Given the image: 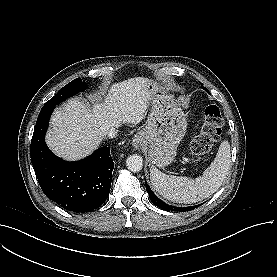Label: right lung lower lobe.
Returning a JSON list of instances; mask_svg holds the SVG:
<instances>
[{"label":"right lung lower lobe","mask_w":277,"mask_h":277,"mask_svg":"<svg viewBox=\"0 0 277 277\" xmlns=\"http://www.w3.org/2000/svg\"><path fill=\"white\" fill-rule=\"evenodd\" d=\"M55 106L42 108L31 140V162L45 195L67 210L90 212L107 199L114 163L109 147L89 157L67 162L55 156L45 143V132Z\"/></svg>","instance_id":"right-lung-lower-lobe-1"}]
</instances>
